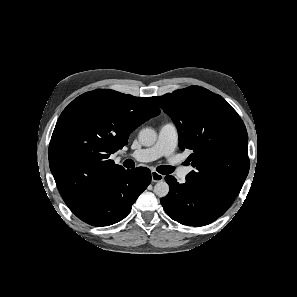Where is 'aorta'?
I'll return each mask as SVG.
<instances>
[{"mask_svg":"<svg viewBox=\"0 0 297 297\" xmlns=\"http://www.w3.org/2000/svg\"><path fill=\"white\" fill-rule=\"evenodd\" d=\"M139 142L143 146H152L157 139V134L152 128H143L138 135ZM154 193L158 197H165L169 193V185L165 181H158L154 186Z\"/></svg>","mask_w":297,"mask_h":297,"instance_id":"1","label":"aorta"}]
</instances>
